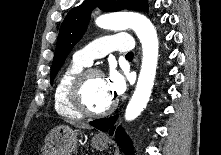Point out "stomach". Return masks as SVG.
Returning <instances> with one entry per match:
<instances>
[{"label": "stomach", "mask_w": 221, "mask_h": 155, "mask_svg": "<svg viewBox=\"0 0 221 155\" xmlns=\"http://www.w3.org/2000/svg\"><path fill=\"white\" fill-rule=\"evenodd\" d=\"M77 136L78 131L69 126L53 128L45 138L42 155H71L77 148ZM91 146L102 151L108 147V142L104 136L95 134L91 139Z\"/></svg>", "instance_id": "obj_1"}]
</instances>
